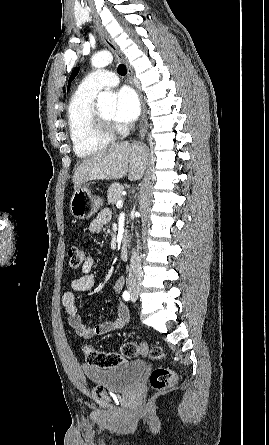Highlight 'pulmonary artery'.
<instances>
[{"label": "pulmonary artery", "mask_w": 269, "mask_h": 445, "mask_svg": "<svg viewBox=\"0 0 269 445\" xmlns=\"http://www.w3.org/2000/svg\"><path fill=\"white\" fill-rule=\"evenodd\" d=\"M119 82L117 75L108 70H97L89 73L81 82L84 90L97 93L103 88L116 86Z\"/></svg>", "instance_id": "obj_1"}]
</instances>
